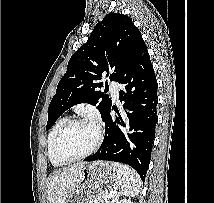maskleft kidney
Returning <instances> with one entry per match:
<instances>
[{
  "label": "left kidney",
  "mask_w": 214,
  "mask_h": 203,
  "mask_svg": "<svg viewBox=\"0 0 214 203\" xmlns=\"http://www.w3.org/2000/svg\"><path fill=\"white\" fill-rule=\"evenodd\" d=\"M116 203H132V202L130 200L123 199V200L117 201Z\"/></svg>",
  "instance_id": "obj_1"
}]
</instances>
